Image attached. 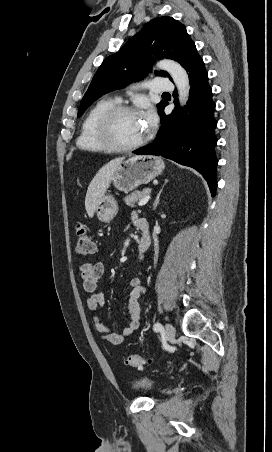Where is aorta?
Returning <instances> with one entry per match:
<instances>
[{
  "label": "aorta",
  "instance_id": "obj_1",
  "mask_svg": "<svg viewBox=\"0 0 272 452\" xmlns=\"http://www.w3.org/2000/svg\"><path fill=\"white\" fill-rule=\"evenodd\" d=\"M156 66L171 75L178 89L179 103L184 106L188 100L190 90L189 78L185 69L179 63L168 59L159 61Z\"/></svg>",
  "mask_w": 272,
  "mask_h": 452
}]
</instances>
